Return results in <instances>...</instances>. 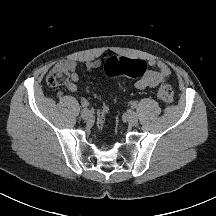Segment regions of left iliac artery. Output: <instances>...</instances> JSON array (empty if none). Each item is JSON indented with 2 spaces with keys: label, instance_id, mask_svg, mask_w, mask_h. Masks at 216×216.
Returning <instances> with one entry per match:
<instances>
[{
  "label": "left iliac artery",
  "instance_id": "1",
  "mask_svg": "<svg viewBox=\"0 0 216 216\" xmlns=\"http://www.w3.org/2000/svg\"><path fill=\"white\" fill-rule=\"evenodd\" d=\"M131 107H132V108H136V107H137V102H135V101L132 102V103H131Z\"/></svg>",
  "mask_w": 216,
  "mask_h": 216
}]
</instances>
